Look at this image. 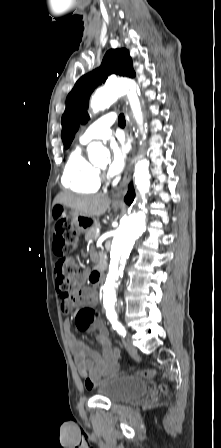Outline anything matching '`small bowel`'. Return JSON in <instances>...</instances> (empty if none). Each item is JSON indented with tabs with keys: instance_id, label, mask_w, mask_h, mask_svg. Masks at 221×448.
Wrapping results in <instances>:
<instances>
[{
	"instance_id": "1",
	"label": "small bowel",
	"mask_w": 221,
	"mask_h": 448,
	"mask_svg": "<svg viewBox=\"0 0 221 448\" xmlns=\"http://www.w3.org/2000/svg\"><path fill=\"white\" fill-rule=\"evenodd\" d=\"M57 219L58 217L54 221L53 235L54 226ZM60 245V240H57L54 235L52 247L54 253L58 256L62 254ZM84 281V277H81L77 280L75 286L71 291L70 298L62 300L61 308L64 312H69L74 307L79 308V310L75 314L76 326L79 330L82 331L90 329L97 332L96 341L101 347L102 354H98L96 351L79 343L76 340L71 330V322L68 319L64 321V331L66 334V340L74 359V363L78 371L82 375H88L92 379L98 380L102 376L117 371L119 367L118 360L120 354L119 351L112 346L108 338V332L104 325V322L101 319L97 318L95 312L92 322L88 326L85 325V322L87 320L85 310L87 308H92L93 306H95L98 301V297L94 290L84 286Z\"/></svg>"
}]
</instances>
